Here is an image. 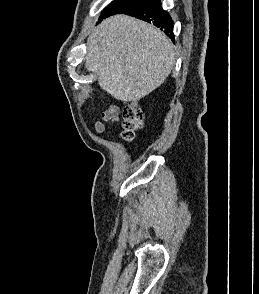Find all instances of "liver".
<instances>
[{
    "label": "liver",
    "instance_id": "6515ba94",
    "mask_svg": "<svg viewBox=\"0 0 259 294\" xmlns=\"http://www.w3.org/2000/svg\"><path fill=\"white\" fill-rule=\"evenodd\" d=\"M85 67L114 98L139 101L171 73L175 55L155 26L126 15L102 21L88 38Z\"/></svg>",
    "mask_w": 259,
    "mask_h": 294
}]
</instances>
